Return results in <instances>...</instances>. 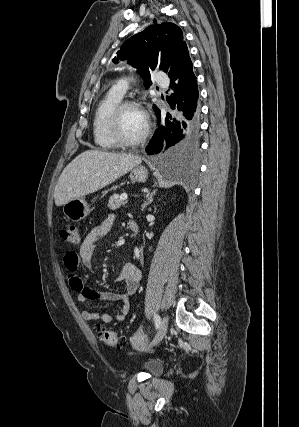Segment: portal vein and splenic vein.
I'll list each match as a JSON object with an SVG mask.
<instances>
[{
    "label": "portal vein and splenic vein",
    "instance_id": "portal-vein-and-splenic-vein-1",
    "mask_svg": "<svg viewBox=\"0 0 299 427\" xmlns=\"http://www.w3.org/2000/svg\"><path fill=\"white\" fill-rule=\"evenodd\" d=\"M120 198L121 200H127L128 196L127 194H122Z\"/></svg>",
    "mask_w": 299,
    "mask_h": 427
}]
</instances>
